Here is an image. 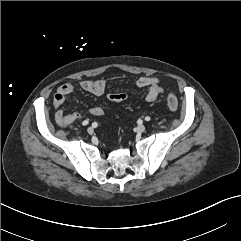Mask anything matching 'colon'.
Wrapping results in <instances>:
<instances>
[{
  "label": "colon",
  "instance_id": "1",
  "mask_svg": "<svg viewBox=\"0 0 241 241\" xmlns=\"http://www.w3.org/2000/svg\"><path fill=\"white\" fill-rule=\"evenodd\" d=\"M106 98H109V100L118 102L123 101L126 98V95L123 93H115L111 95H106ZM167 106L171 111H176L178 108V99L175 95L169 94L166 99Z\"/></svg>",
  "mask_w": 241,
  "mask_h": 241
}]
</instances>
